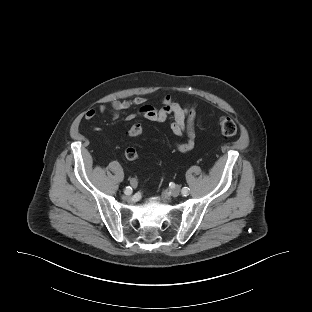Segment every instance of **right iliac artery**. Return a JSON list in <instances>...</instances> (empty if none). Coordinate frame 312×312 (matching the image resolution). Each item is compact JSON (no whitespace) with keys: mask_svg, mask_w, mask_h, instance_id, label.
Masks as SVG:
<instances>
[{"mask_svg":"<svg viewBox=\"0 0 312 312\" xmlns=\"http://www.w3.org/2000/svg\"><path fill=\"white\" fill-rule=\"evenodd\" d=\"M125 194H131L132 193V188L130 186L126 187L125 189Z\"/></svg>","mask_w":312,"mask_h":312,"instance_id":"1","label":"right iliac artery"}]
</instances>
